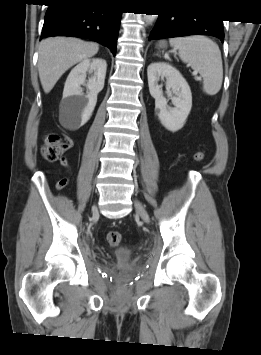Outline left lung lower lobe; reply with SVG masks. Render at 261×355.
Here are the masks:
<instances>
[{
  "label": "left lung lower lobe",
  "instance_id": "left-lung-lower-lobe-1",
  "mask_svg": "<svg viewBox=\"0 0 261 355\" xmlns=\"http://www.w3.org/2000/svg\"><path fill=\"white\" fill-rule=\"evenodd\" d=\"M187 35H209L224 40L222 20L159 15L149 40Z\"/></svg>",
  "mask_w": 261,
  "mask_h": 355
}]
</instances>
